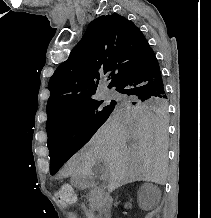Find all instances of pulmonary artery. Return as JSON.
I'll use <instances>...</instances> for the list:
<instances>
[{
	"instance_id": "1",
	"label": "pulmonary artery",
	"mask_w": 211,
	"mask_h": 218,
	"mask_svg": "<svg viewBox=\"0 0 211 218\" xmlns=\"http://www.w3.org/2000/svg\"><path fill=\"white\" fill-rule=\"evenodd\" d=\"M111 96H112L111 91L108 90V89H105V91H104V97H105L106 99H109V98H111Z\"/></svg>"
}]
</instances>
